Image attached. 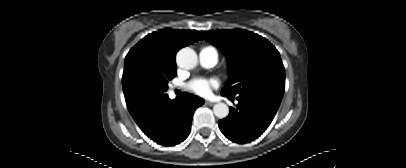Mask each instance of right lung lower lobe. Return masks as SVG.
I'll use <instances>...</instances> for the list:
<instances>
[{"label": "right lung lower lobe", "mask_w": 406, "mask_h": 168, "mask_svg": "<svg viewBox=\"0 0 406 168\" xmlns=\"http://www.w3.org/2000/svg\"><path fill=\"white\" fill-rule=\"evenodd\" d=\"M203 103L202 98L185 94L181 102L167 97L156 104L134 110L131 115L151 140L173 146L188 137L193 113Z\"/></svg>", "instance_id": "98d812e1"}]
</instances>
